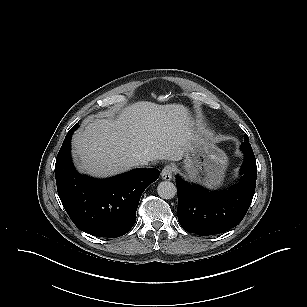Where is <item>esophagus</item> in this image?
<instances>
[{
  "instance_id": "1",
  "label": "esophagus",
  "mask_w": 307,
  "mask_h": 307,
  "mask_svg": "<svg viewBox=\"0 0 307 307\" xmlns=\"http://www.w3.org/2000/svg\"><path fill=\"white\" fill-rule=\"evenodd\" d=\"M173 174V168L171 165H166L162 172H161V177L164 180H171Z\"/></svg>"
}]
</instances>
